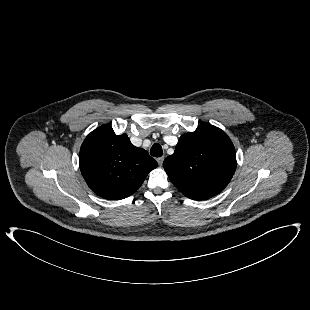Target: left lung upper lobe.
Masks as SVG:
<instances>
[{
    "label": "left lung upper lobe",
    "mask_w": 310,
    "mask_h": 310,
    "mask_svg": "<svg viewBox=\"0 0 310 310\" xmlns=\"http://www.w3.org/2000/svg\"><path fill=\"white\" fill-rule=\"evenodd\" d=\"M163 167L186 197L205 200L230 182L236 169L235 149L225 132L203 122L194 132L180 137Z\"/></svg>",
    "instance_id": "5c2ea615"
}]
</instances>
